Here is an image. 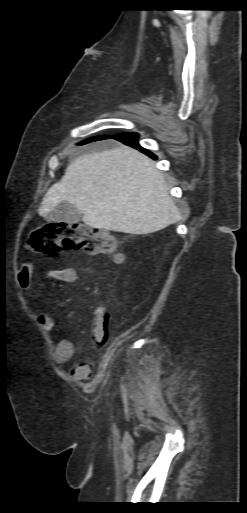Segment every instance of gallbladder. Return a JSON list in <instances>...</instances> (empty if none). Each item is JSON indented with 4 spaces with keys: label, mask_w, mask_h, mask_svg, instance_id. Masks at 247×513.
<instances>
[{
    "label": "gallbladder",
    "mask_w": 247,
    "mask_h": 513,
    "mask_svg": "<svg viewBox=\"0 0 247 513\" xmlns=\"http://www.w3.org/2000/svg\"><path fill=\"white\" fill-rule=\"evenodd\" d=\"M83 214L72 204L62 202L47 217V221L66 222L68 224L78 223Z\"/></svg>",
    "instance_id": "1"
}]
</instances>
